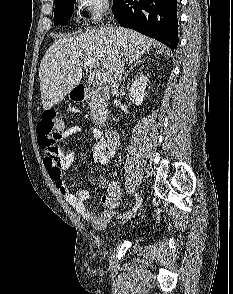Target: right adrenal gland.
<instances>
[{"instance_id": "right-adrenal-gland-1", "label": "right adrenal gland", "mask_w": 233, "mask_h": 294, "mask_svg": "<svg viewBox=\"0 0 233 294\" xmlns=\"http://www.w3.org/2000/svg\"><path fill=\"white\" fill-rule=\"evenodd\" d=\"M145 61V59H138L133 65H131V67L129 68V70H127V72L125 73V76L123 77V81H125L126 80V78H127V76H128V74H129V72L137 65V64H140L141 62H144Z\"/></svg>"}]
</instances>
